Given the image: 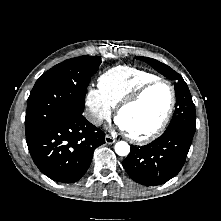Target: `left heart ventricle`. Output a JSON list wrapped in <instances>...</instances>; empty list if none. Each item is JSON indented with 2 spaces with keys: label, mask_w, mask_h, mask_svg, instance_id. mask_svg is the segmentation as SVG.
Segmentation results:
<instances>
[{
  "label": "left heart ventricle",
  "mask_w": 221,
  "mask_h": 221,
  "mask_svg": "<svg viewBox=\"0 0 221 221\" xmlns=\"http://www.w3.org/2000/svg\"><path fill=\"white\" fill-rule=\"evenodd\" d=\"M170 98L169 87L158 83L149 88L137 103L124 109L119 122L133 135L148 134L161 123L169 107Z\"/></svg>",
  "instance_id": "b2bd125f"
}]
</instances>
